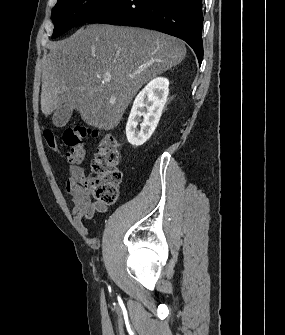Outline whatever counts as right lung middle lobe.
Wrapping results in <instances>:
<instances>
[{"mask_svg":"<svg viewBox=\"0 0 285 335\" xmlns=\"http://www.w3.org/2000/svg\"><path fill=\"white\" fill-rule=\"evenodd\" d=\"M119 0H58L52 10L56 38L74 26L87 22Z\"/></svg>","mask_w":285,"mask_h":335,"instance_id":"right-lung-middle-lobe-1","label":"right lung middle lobe"}]
</instances>
